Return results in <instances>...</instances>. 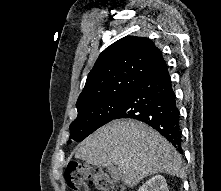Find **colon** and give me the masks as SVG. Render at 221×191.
Returning a JSON list of instances; mask_svg holds the SVG:
<instances>
[{"label":"colon","mask_w":221,"mask_h":191,"mask_svg":"<svg viewBox=\"0 0 221 191\" xmlns=\"http://www.w3.org/2000/svg\"><path fill=\"white\" fill-rule=\"evenodd\" d=\"M64 177L71 191H89V184H94L98 191H123L121 182L87 164L69 163Z\"/></svg>","instance_id":"obj_1"}]
</instances>
